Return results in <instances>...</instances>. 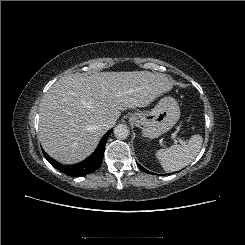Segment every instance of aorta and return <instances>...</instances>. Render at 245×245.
<instances>
[{"label":"aorta","instance_id":"1","mask_svg":"<svg viewBox=\"0 0 245 245\" xmlns=\"http://www.w3.org/2000/svg\"><path fill=\"white\" fill-rule=\"evenodd\" d=\"M129 133V128L125 124H119L114 128V136L117 139H126Z\"/></svg>","mask_w":245,"mask_h":245}]
</instances>
